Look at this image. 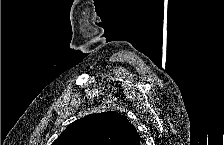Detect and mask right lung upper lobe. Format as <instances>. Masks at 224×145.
I'll list each match as a JSON object with an SVG mask.
<instances>
[{"instance_id":"1","label":"right lung upper lobe","mask_w":224,"mask_h":145,"mask_svg":"<svg viewBox=\"0 0 224 145\" xmlns=\"http://www.w3.org/2000/svg\"><path fill=\"white\" fill-rule=\"evenodd\" d=\"M134 126L121 114L103 112L71 123L52 145H139Z\"/></svg>"}]
</instances>
